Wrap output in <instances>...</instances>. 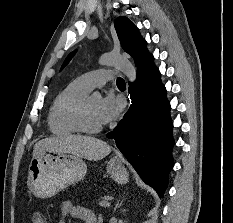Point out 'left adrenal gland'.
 Instances as JSON below:
<instances>
[{"label":"left adrenal gland","mask_w":233,"mask_h":223,"mask_svg":"<svg viewBox=\"0 0 233 223\" xmlns=\"http://www.w3.org/2000/svg\"><path fill=\"white\" fill-rule=\"evenodd\" d=\"M122 203H123V201H121V203H119L120 207H121Z\"/></svg>","instance_id":"1"}]
</instances>
